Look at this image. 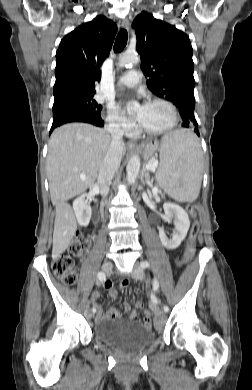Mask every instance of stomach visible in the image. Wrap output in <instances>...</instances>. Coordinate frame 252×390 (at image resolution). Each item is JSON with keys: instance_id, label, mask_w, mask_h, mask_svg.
Wrapping results in <instances>:
<instances>
[{"instance_id": "0dacf381", "label": "stomach", "mask_w": 252, "mask_h": 390, "mask_svg": "<svg viewBox=\"0 0 252 390\" xmlns=\"http://www.w3.org/2000/svg\"><path fill=\"white\" fill-rule=\"evenodd\" d=\"M189 132V131H188ZM158 148V144L156 142L149 143L146 146H143V156L145 160H149Z\"/></svg>"}]
</instances>
